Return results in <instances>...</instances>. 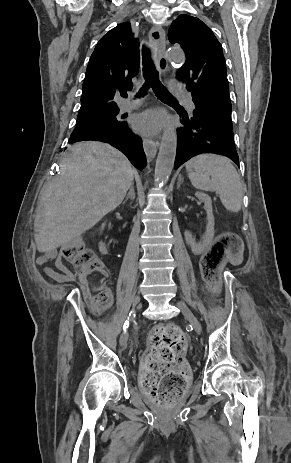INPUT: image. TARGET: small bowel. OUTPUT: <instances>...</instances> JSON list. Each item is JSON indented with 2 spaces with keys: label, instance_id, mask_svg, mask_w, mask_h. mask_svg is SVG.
Instances as JSON below:
<instances>
[{
  "label": "small bowel",
  "instance_id": "small-bowel-1",
  "mask_svg": "<svg viewBox=\"0 0 291 463\" xmlns=\"http://www.w3.org/2000/svg\"><path fill=\"white\" fill-rule=\"evenodd\" d=\"M48 259L54 260V265L57 270L52 268H46L45 273L47 276L56 282H70L73 281L74 275L65 265L63 258L60 254H57L53 249H46L42 257L38 258L37 263L39 265L44 264Z\"/></svg>",
  "mask_w": 291,
  "mask_h": 463
}]
</instances>
